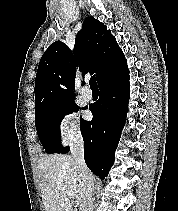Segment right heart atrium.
I'll return each instance as SVG.
<instances>
[{
	"label": "right heart atrium",
	"instance_id": "d8ad5b80",
	"mask_svg": "<svg viewBox=\"0 0 178 211\" xmlns=\"http://www.w3.org/2000/svg\"><path fill=\"white\" fill-rule=\"evenodd\" d=\"M81 124L73 108L65 110L58 118L56 133L62 144H69L81 137Z\"/></svg>",
	"mask_w": 178,
	"mask_h": 211
}]
</instances>
